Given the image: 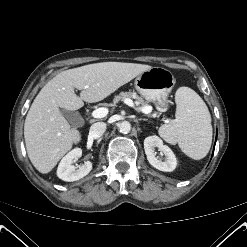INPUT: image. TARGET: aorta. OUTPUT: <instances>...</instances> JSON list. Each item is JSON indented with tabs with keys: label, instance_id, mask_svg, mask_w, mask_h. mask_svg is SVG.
Listing matches in <instances>:
<instances>
[{
	"label": "aorta",
	"instance_id": "1",
	"mask_svg": "<svg viewBox=\"0 0 247 247\" xmlns=\"http://www.w3.org/2000/svg\"><path fill=\"white\" fill-rule=\"evenodd\" d=\"M119 130L123 134H127L131 130V124L128 121H123L119 125Z\"/></svg>",
	"mask_w": 247,
	"mask_h": 247
}]
</instances>
